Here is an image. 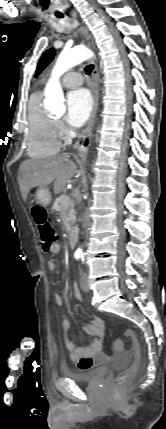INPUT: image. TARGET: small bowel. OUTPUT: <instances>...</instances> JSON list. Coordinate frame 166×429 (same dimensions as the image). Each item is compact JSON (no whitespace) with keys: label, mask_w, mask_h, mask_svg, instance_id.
Segmentation results:
<instances>
[{"label":"small bowel","mask_w":166,"mask_h":429,"mask_svg":"<svg viewBox=\"0 0 166 429\" xmlns=\"http://www.w3.org/2000/svg\"><path fill=\"white\" fill-rule=\"evenodd\" d=\"M48 251L52 254H57L60 252V245L55 243ZM47 266L50 271L56 269V263L53 260L48 261ZM74 293L79 300L82 299L81 293L76 285H74ZM55 301L59 306L63 303L62 297L58 294L55 296ZM70 328V322L64 319L62 321L64 344L68 350L70 360L74 362L79 369L88 370L107 361L109 356L102 349L104 323L100 318H93L91 322L83 327L87 335L95 337L88 345L76 346L70 338ZM127 354L130 353L128 352Z\"/></svg>","instance_id":"c3829d8e"}]
</instances>
